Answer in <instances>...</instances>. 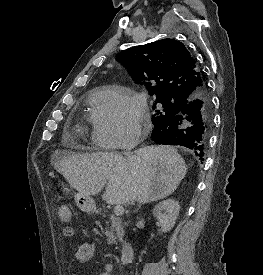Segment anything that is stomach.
Segmentation results:
<instances>
[{"instance_id": "0dacf381", "label": "stomach", "mask_w": 263, "mask_h": 275, "mask_svg": "<svg viewBox=\"0 0 263 275\" xmlns=\"http://www.w3.org/2000/svg\"><path fill=\"white\" fill-rule=\"evenodd\" d=\"M61 187L64 193H68L69 190L63 183L61 184ZM74 199L77 207L83 212H96L95 202L90 196H85L84 194L78 192L74 195Z\"/></svg>"}]
</instances>
